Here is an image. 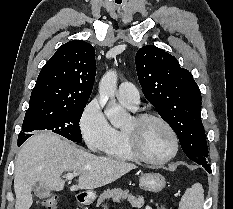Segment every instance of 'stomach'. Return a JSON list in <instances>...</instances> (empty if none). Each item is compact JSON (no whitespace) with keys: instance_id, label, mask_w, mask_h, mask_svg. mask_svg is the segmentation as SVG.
Masks as SVG:
<instances>
[{"instance_id":"1","label":"stomach","mask_w":233,"mask_h":209,"mask_svg":"<svg viewBox=\"0 0 233 209\" xmlns=\"http://www.w3.org/2000/svg\"><path fill=\"white\" fill-rule=\"evenodd\" d=\"M139 184L141 188L150 192L161 191L166 184L164 176L156 172L144 173L140 176ZM95 199L94 193H88L85 198L86 203H91Z\"/></svg>"}]
</instances>
